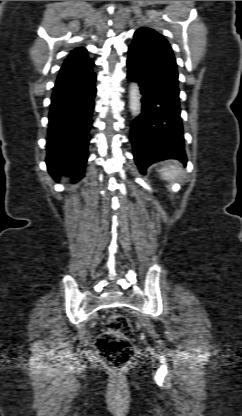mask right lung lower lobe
<instances>
[{
    "label": "right lung lower lobe",
    "mask_w": 242,
    "mask_h": 416,
    "mask_svg": "<svg viewBox=\"0 0 242 416\" xmlns=\"http://www.w3.org/2000/svg\"><path fill=\"white\" fill-rule=\"evenodd\" d=\"M96 75L58 77L51 98L46 164L54 177H84L92 126Z\"/></svg>",
    "instance_id": "right-lung-lower-lobe-1"
}]
</instances>
